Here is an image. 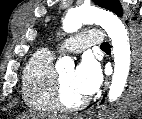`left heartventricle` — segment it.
Listing matches in <instances>:
<instances>
[{
    "mask_svg": "<svg viewBox=\"0 0 142 119\" xmlns=\"http://www.w3.org/2000/svg\"><path fill=\"white\" fill-rule=\"evenodd\" d=\"M73 70L68 69L59 74L63 89V98L67 104H74L75 102L84 98L72 86Z\"/></svg>",
    "mask_w": 142,
    "mask_h": 119,
    "instance_id": "left-heart-ventricle-1",
    "label": "left heart ventricle"
}]
</instances>
